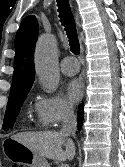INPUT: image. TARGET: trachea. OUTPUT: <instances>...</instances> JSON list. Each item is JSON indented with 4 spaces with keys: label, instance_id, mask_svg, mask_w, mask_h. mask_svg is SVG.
Returning a JSON list of instances; mask_svg holds the SVG:
<instances>
[{
    "label": "trachea",
    "instance_id": "1",
    "mask_svg": "<svg viewBox=\"0 0 125 167\" xmlns=\"http://www.w3.org/2000/svg\"><path fill=\"white\" fill-rule=\"evenodd\" d=\"M59 17L69 38L70 50L74 54L80 53V45L75 25V20L68 0H57Z\"/></svg>",
    "mask_w": 125,
    "mask_h": 167
}]
</instances>
